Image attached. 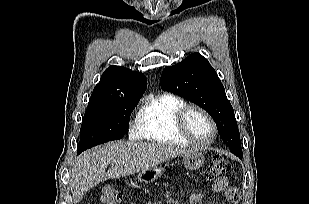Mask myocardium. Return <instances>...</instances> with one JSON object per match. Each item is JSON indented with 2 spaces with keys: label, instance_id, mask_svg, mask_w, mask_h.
<instances>
[{
  "label": "myocardium",
  "instance_id": "1",
  "mask_svg": "<svg viewBox=\"0 0 309 204\" xmlns=\"http://www.w3.org/2000/svg\"><path fill=\"white\" fill-rule=\"evenodd\" d=\"M191 111H198L200 112L202 115L205 116V118L208 120V122L211 125L212 128V137L207 140V141H199L198 139H196L190 132L188 126H187V116ZM176 127L178 129V131L180 132V134L186 139L188 140L190 143L197 145V146H208L211 145L216 137H217V133H218V129H217V125L213 119V117L211 116V114L204 109L203 107L196 105V104H186L185 106H183L179 112L177 113L176 116Z\"/></svg>",
  "mask_w": 309,
  "mask_h": 204
}]
</instances>
